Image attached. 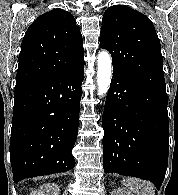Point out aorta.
<instances>
[{"label": "aorta", "instance_id": "aorta-1", "mask_svg": "<svg viewBox=\"0 0 178 195\" xmlns=\"http://www.w3.org/2000/svg\"><path fill=\"white\" fill-rule=\"evenodd\" d=\"M112 62L107 51H101L97 60V85L98 95L103 96L108 92L111 83Z\"/></svg>", "mask_w": 178, "mask_h": 195}]
</instances>
